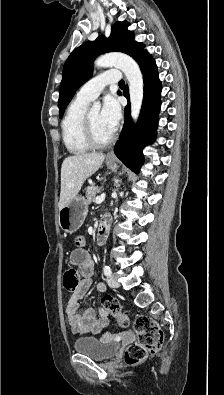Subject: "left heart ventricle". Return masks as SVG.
I'll list each match as a JSON object with an SVG mask.
<instances>
[{
	"label": "left heart ventricle",
	"mask_w": 224,
	"mask_h": 395,
	"mask_svg": "<svg viewBox=\"0 0 224 395\" xmlns=\"http://www.w3.org/2000/svg\"><path fill=\"white\" fill-rule=\"evenodd\" d=\"M89 117L94 134L98 140L104 141L112 135V132L102 122L99 110L90 111Z\"/></svg>",
	"instance_id": "1"
}]
</instances>
